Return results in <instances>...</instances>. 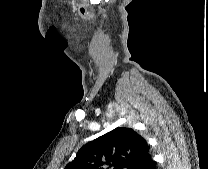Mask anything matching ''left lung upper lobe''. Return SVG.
I'll use <instances>...</instances> for the list:
<instances>
[{"label":"left lung upper lobe","mask_w":208,"mask_h":169,"mask_svg":"<svg viewBox=\"0 0 208 169\" xmlns=\"http://www.w3.org/2000/svg\"><path fill=\"white\" fill-rule=\"evenodd\" d=\"M148 154L144 138L118 127L84 145L65 169H141Z\"/></svg>","instance_id":"left-lung-upper-lobe-1"}]
</instances>
